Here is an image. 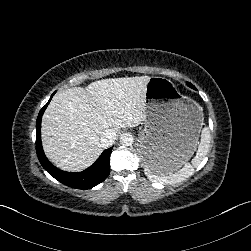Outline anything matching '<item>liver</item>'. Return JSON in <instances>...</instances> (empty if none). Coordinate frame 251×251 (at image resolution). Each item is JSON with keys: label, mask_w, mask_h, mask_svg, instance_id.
Returning a JSON list of instances; mask_svg holds the SVG:
<instances>
[{"label": "liver", "mask_w": 251, "mask_h": 251, "mask_svg": "<svg viewBox=\"0 0 251 251\" xmlns=\"http://www.w3.org/2000/svg\"><path fill=\"white\" fill-rule=\"evenodd\" d=\"M149 80V76L102 79L55 95L42 117L46 156L65 171L89 167L103 151L100 138L105 130L117 133L144 121Z\"/></svg>", "instance_id": "6515ba94"}]
</instances>
